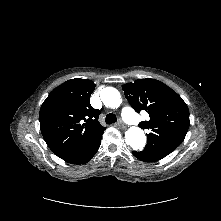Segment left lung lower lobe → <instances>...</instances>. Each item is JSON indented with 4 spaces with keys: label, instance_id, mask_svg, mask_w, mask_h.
Returning a JSON list of instances; mask_svg holds the SVG:
<instances>
[{
    "label": "left lung lower lobe",
    "instance_id": "left-lung-lower-lobe-1",
    "mask_svg": "<svg viewBox=\"0 0 221 221\" xmlns=\"http://www.w3.org/2000/svg\"><path fill=\"white\" fill-rule=\"evenodd\" d=\"M132 154L139 160L144 161V162H155L158 161L162 158H164L166 155H161L153 152H148V151H133Z\"/></svg>",
    "mask_w": 221,
    "mask_h": 221
}]
</instances>
